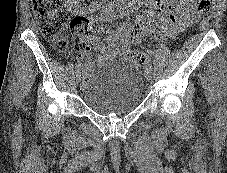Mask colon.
Masks as SVG:
<instances>
[{
	"mask_svg": "<svg viewBox=\"0 0 227 173\" xmlns=\"http://www.w3.org/2000/svg\"><path fill=\"white\" fill-rule=\"evenodd\" d=\"M35 18L43 36L53 42L57 52H64L68 47L67 32L71 30L75 37V48L81 52L90 51L86 42V35L90 32L102 30L100 24L91 23L83 18L71 19L61 9V0H31ZM214 0H198L197 9L207 15L212 11ZM130 57L139 63H146L147 57L133 51Z\"/></svg>",
	"mask_w": 227,
	"mask_h": 173,
	"instance_id": "obj_1",
	"label": "colon"
}]
</instances>
